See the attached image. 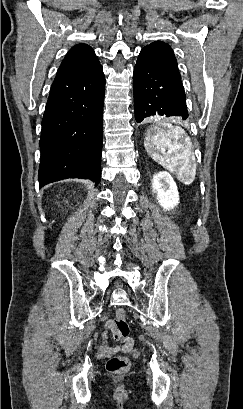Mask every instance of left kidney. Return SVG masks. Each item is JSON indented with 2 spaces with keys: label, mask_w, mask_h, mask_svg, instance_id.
<instances>
[{
  "label": "left kidney",
  "mask_w": 243,
  "mask_h": 409,
  "mask_svg": "<svg viewBox=\"0 0 243 409\" xmlns=\"http://www.w3.org/2000/svg\"><path fill=\"white\" fill-rule=\"evenodd\" d=\"M152 189L160 206L169 211L179 203V194L176 183L167 172H159L153 176Z\"/></svg>",
  "instance_id": "obj_1"
}]
</instances>
